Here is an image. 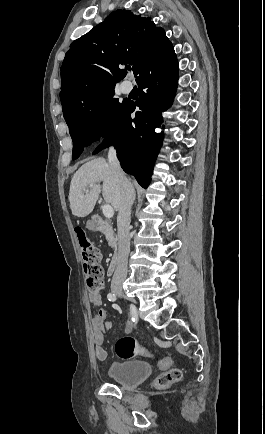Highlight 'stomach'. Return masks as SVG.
<instances>
[{"instance_id":"obj_1","label":"stomach","mask_w":265,"mask_h":434,"mask_svg":"<svg viewBox=\"0 0 265 434\" xmlns=\"http://www.w3.org/2000/svg\"><path fill=\"white\" fill-rule=\"evenodd\" d=\"M87 229L90 232H93L96 229V226L93 223L89 222V225L87 226Z\"/></svg>"}]
</instances>
